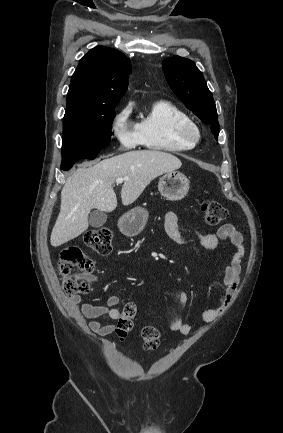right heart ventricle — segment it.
I'll return each mask as SVG.
<instances>
[{
  "mask_svg": "<svg viewBox=\"0 0 283 433\" xmlns=\"http://www.w3.org/2000/svg\"><path fill=\"white\" fill-rule=\"evenodd\" d=\"M191 117L168 101L153 103L137 124L143 143L154 150L180 152L184 149L175 138L177 124Z\"/></svg>",
  "mask_w": 283,
  "mask_h": 433,
  "instance_id": "right-heart-ventricle-1",
  "label": "right heart ventricle"
}]
</instances>
